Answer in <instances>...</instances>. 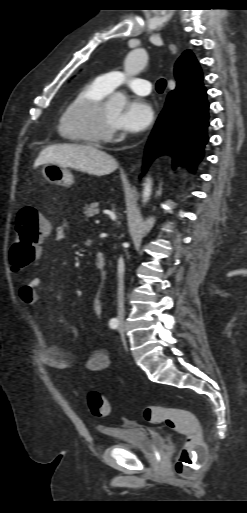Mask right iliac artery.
Returning <instances> with one entry per match:
<instances>
[{
	"mask_svg": "<svg viewBox=\"0 0 247 513\" xmlns=\"http://www.w3.org/2000/svg\"><path fill=\"white\" fill-rule=\"evenodd\" d=\"M118 325H119V321L116 318L111 319L110 322H109V326L112 329H117Z\"/></svg>",
	"mask_w": 247,
	"mask_h": 513,
	"instance_id": "right-iliac-artery-1",
	"label": "right iliac artery"
}]
</instances>
